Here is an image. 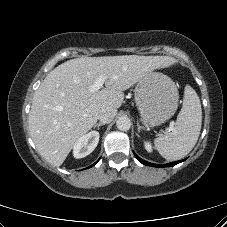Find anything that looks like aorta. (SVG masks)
<instances>
[{
  "label": "aorta",
  "mask_w": 227,
  "mask_h": 227,
  "mask_svg": "<svg viewBox=\"0 0 227 227\" xmlns=\"http://www.w3.org/2000/svg\"><path fill=\"white\" fill-rule=\"evenodd\" d=\"M116 126L121 131H127L131 127V121H130V119L128 117L121 116L116 121Z\"/></svg>",
  "instance_id": "762f6f07"
}]
</instances>
